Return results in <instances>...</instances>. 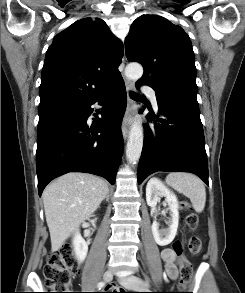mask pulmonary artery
<instances>
[{
  "mask_svg": "<svg viewBox=\"0 0 245 293\" xmlns=\"http://www.w3.org/2000/svg\"><path fill=\"white\" fill-rule=\"evenodd\" d=\"M144 92L152 99V103L155 109H158L155 90L147 88V89H144Z\"/></svg>",
  "mask_w": 245,
  "mask_h": 293,
  "instance_id": "obj_1",
  "label": "pulmonary artery"
}]
</instances>
